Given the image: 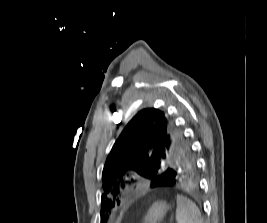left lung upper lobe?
<instances>
[{
	"label": "left lung upper lobe",
	"mask_w": 267,
	"mask_h": 223,
	"mask_svg": "<svg viewBox=\"0 0 267 223\" xmlns=\"http://www.w3.org/2000/svg\"><path fill=\"white\" fill-rule=\"evenodd\" d=\"M196 171L191 147L174 120L154 108L138 112L126 125L106 160L103 173L101 223L115 207L111 195L129 182L130 172L144 178L165 171Z\"/></svg>",
	"instance_id": "obj_1"
}]
</instances>
